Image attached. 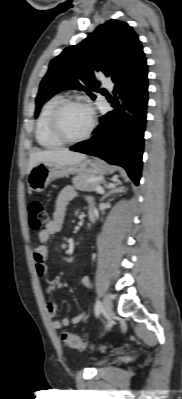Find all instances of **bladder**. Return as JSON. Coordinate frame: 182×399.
<instances>
[{
  "mask_svg": "<svg viewBox=\"0 0 182 399\" xmlns=\"http://www.w3.org/2000/svg\"><path fill=\"white\" fill-rule=\"evenodd\" d=\"M104 361L99 362V364H102Z\"/></svg>",
  "mask_w": 182,
  "mask_h": 399,
  "instance_id": "31cf9c89",
  "label": "bladder"
}]
</instances>
